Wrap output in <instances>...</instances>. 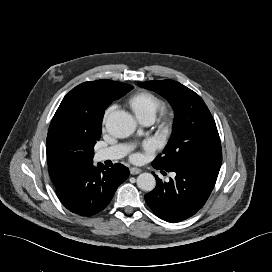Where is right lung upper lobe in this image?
I'll list each match as a JSON object with an SVG mask.
<instances>
[{"label":"right lung upper lobe","instance_id":"cb5924a9","mask_svg":"<svg viewBox=\"0 0 272 272\" xmlns=\"http://www.w3.org/2000/svg\"><path fill=\"white\" fill-rule=\"evenodd\" d=\"M131 87L102 79L84 82L64 97L52 119L46 141L49 174L56 189L92 164L105 109Z\"/></svg>","mask_w":272,"mask_h":272}]
</instances>
